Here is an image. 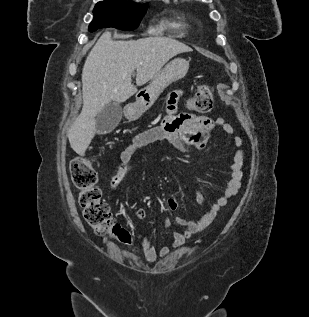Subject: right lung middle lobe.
I'll use <instances>...</instances> for the list:
<instances>
[{
	"label": "right lung middle lobe",
	"mask_w": 309,
	"mask_h": 317,
	"mask_svg": "<svg viewBox=\"0 0 309 317\" xmlns=\"http://www.w3.org/2000/svg\"><path fill=\"white\" fill-rule=\"evenodd\" d=\"M147 10V5H139L124 0H104L98 2L93 10L94 19L89 31L105 27H114L131 31L136 29Z\"/></svg>",
	"instance_id": "dd1d6c3e"
}]
</instances>
